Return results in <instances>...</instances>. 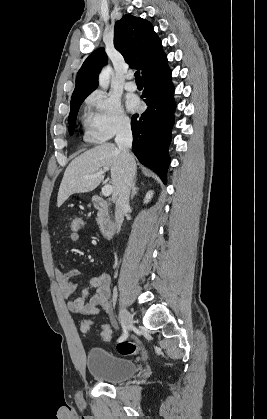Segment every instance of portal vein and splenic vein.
Instances as JSON below:
<instances>
[{"label": "portal vein and splenic vein", "mask_w": 267, "mask_h": 419, "mask_svg": "<svg viewBox=\"0 0 267 419\" xmlns=\"http://www.w3.org/2000/svg\"><path fill=\"white\" fill-rule=\"evenodd\" d=\"M108 170V168H103L101 170H99L97 173L92 174V175H86V178H93V177H97L100 176L102 174H104L106 171ZM112 193V186L109 184H106L105 186H103L102 188V195L105 197L110 196Z\"/></svg>", "instance_id": "portal-vein-and-splenic-vein-1"}]
</instances>
